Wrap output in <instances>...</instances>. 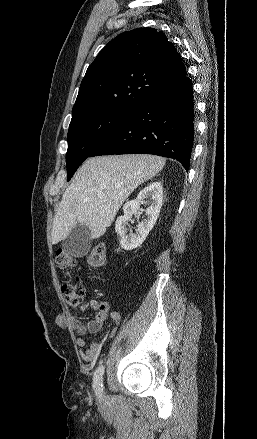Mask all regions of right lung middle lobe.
I'll list each match as a JSON object with an SVG mask.
<instances>
[{
    "mask_svg": "<svg viewBox=\"0 0 257 439\" xmlns=\"http://www.w3.org/2000/svg\"><path fill=\"white\" fill-rule=\"evenodd\" d=\"M131 113L133 112L96 110L72 117L67 135L68 181L97 145Z\"/></svg>",
    "mask_w": 257,
    "mask_h": 439,
    "instance_id": "obj_1",
    "label": "right lung middle lobe"
}]
</instances>
